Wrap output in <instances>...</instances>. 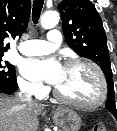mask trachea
Listing matches in <instances>:
<instances>
[{
	"mask_svg": "<svg viewBox=\"0 0 117 131\" xmlns=\"http://www.w3.org/2000/svg\"><path fill=\"white\" fill-rule=\"evenodd\" d=\"M43 4H44V0L33 1L32 19H33L34 24L38 23Z\"/></svg>",
	"mask_w": 117,
	"mask_h": 131,
	"instance_id": "3493384b",
	"label": "trachea"
}]
</instances>
